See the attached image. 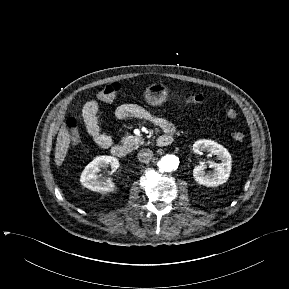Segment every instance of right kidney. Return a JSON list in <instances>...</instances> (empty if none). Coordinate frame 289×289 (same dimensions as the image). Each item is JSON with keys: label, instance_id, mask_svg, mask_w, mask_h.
Here are the masks:
<instances>
[{"label": "right kidney", "instance_id": "1", "mask_svg": "<svg viewBox=\"0 0 289 289\" xmlns=\"http://www.w3.org/2000/svg\"><path fill=\"white\" fill-rule=\"evenodd\" d=\"M108 165L111 166L113 171H116L119 167V161L118 159L107 155L94 158V160L90 162L81 173V184L92 191L100 193L113 192L116 189L115 183L112 182L110 178L103 181L99 179L97 175L100 168H106Z\"/></svg>", "mask_w": 289, "mask_h": 289}]
</instances>
